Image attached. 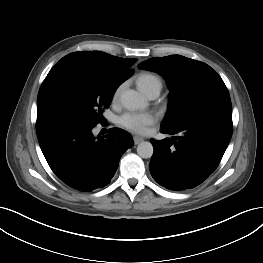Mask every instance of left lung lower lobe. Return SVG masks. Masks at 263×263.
<instances>
[{
    "label": "left lung lower lobe",
    "instance_id": "1",
    "mask_svg": "<svg viewBox=\"0 0 263 263\" xmlns=\"http://www.w3.org/2000/svg\"><path fill=\"white\" fill-rule=\"evenodd\" d=\"M232 121L217 116L186 125L160 127L172 139L151 140L150 173L161 186L175 191L194 188L219 165L232 136Z\"/></svg>",
    "mask_w": 263,
    "mask_h": 263
}]
</instances>
